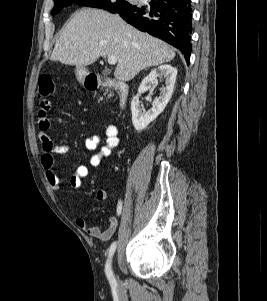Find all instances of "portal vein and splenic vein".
Listing matches in <instances>:
<instances>
[{
	"instance_id": "obj_1",
	"label": "portal vein and splenic vein",
	"mask_w": 267,
	"mask_h": 301,
	"mask_svg": "<svg viewBox=\"0 0 267 301\" xmlns=\"http://www.w3.org/2000/svg\"><path fill=\"white\" fill-rule=\"evenodd\" d=\"M108 63L111 65H115L117 63V57L115 56L108 57Z\"/></svg>"
}]
</instances>
